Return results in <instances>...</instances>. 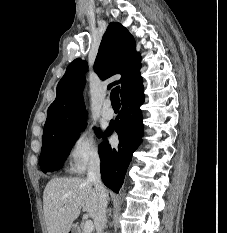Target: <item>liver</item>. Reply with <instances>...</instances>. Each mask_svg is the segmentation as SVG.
I'll return each instance as SVG.
<instances>
[{
  "label": "liver",
  "instance_id": "1",
  "mask_svg": "<svg viewBox=\"0 0 227 233\" xmlns=\"http://www.w3.org/2000/svg\"><path fill=\"white\" fill-rule=\"evenodd\" d=\"M81 208L93 219L99 195L85 178H53L43 192V210L48 233H68Z\"/></svg>",
  "mask_w": 227,
  "mask_h": 233
}]
</instances>
